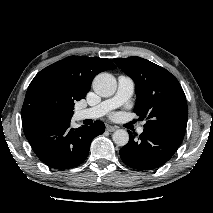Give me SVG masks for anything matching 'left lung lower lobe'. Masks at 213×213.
Here are the masks:
<instances>
[{"mask_svg":"<svg viewBox=\"0 0 213 213\" xmlns=\"http://www.w3.org/2000/svg\"><path fill=\"white\" fill-rule=\"evenodd\" d=\"M129 142L120 149L122 161L137 170H153L166 163L178 149L181 141L158 132L144 129L137 134L129 132Z\"/></svg>","mask_w":213,"mask_h":213,"instance_id":"1","label":"left lung lower lobe"}]
</instances>
